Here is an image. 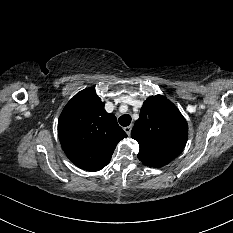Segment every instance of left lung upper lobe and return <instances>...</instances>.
<instances>
[{"label":"left lung upper lobe","mask_w":233,"mask_h":233,"mask_svg":"<svg viewBox=\"0 0 233 233\" xmlns=\"http://www.w3.org/2000/svg\"><path fill=\"white\" fill-rule=\"evenodd\" d=\"M131 137L139 143V160L160 168L183 151L188 125L172 102L161 95L151 96L143 103Z\"/></svg>","instance_id":"left-lung-upper-lobe-1"}]
</instances>
